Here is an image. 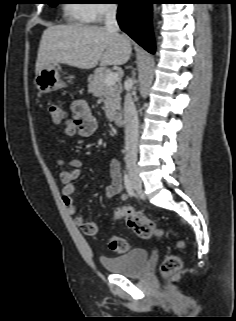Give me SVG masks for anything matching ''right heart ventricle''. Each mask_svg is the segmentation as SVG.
<instances>
[{
    "mask_svg": "<svg viewBox=\"0 0 236 321\" xmlns=\"http://www.w3.org/2000/svg\"><path fill=\"white\" fill-rule=\"evenodd\" d=\"M65 16L69 22L84 24L88 20L86 18L87 5L83 3H71L65 7Z\"/></svg>",
    "mask_w": 236,
    "mask_h": 321,
    "instance_id": "e07e8e85",
    "label": "right heart ventricle"
}]
</instances>
